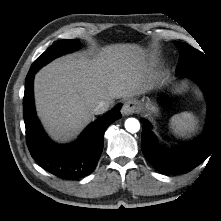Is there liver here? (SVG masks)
Wrapping results in <instances>:
<instances>
[{"instance_id": "obj_1", "label": "liver", "mask_w": 221, "mask_h": 221, "mask_svg": "<svg viewBox=\"0 0 221 221\" xmlns=\"http://www.w3.org/2000/svg\"><path fill=\"white\" fill-rule=\"evenodd\" d=\"M151 69L142 48L115 44L93 59L72 54L54 60L35 76L36 110L49 135L66 142L94 118L100 101L134 97L148 89Z\"/></svg>"}]
</instances>
